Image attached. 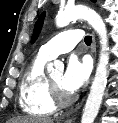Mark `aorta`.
Here are the masks:
<instances>
[{
    "instance_id": "obj_1",
    "label": "aorta",
    "mask_w": 118,
    "mask_h": 123,
    "mask_svg": "<svg viewBox=\"0 0 118 123\" xmlns=\"http://www.w3.org/2000/svg\"><path fill=\"white\" fill-rule=\"evenodd\" d=\"M84 19L96 31L100 38L101 51L99 62L96 68L95 77L93 79L90 92L83 109L81 123H93L101 106L107 85L109 64V47L106 25L101 16L94 10L86 6L68 7L56 16V26L59 28L67 26L71 21ZM55 65H61L59 61H55ZM53 64H49L48 68H52Z\"/></svg>"
}]
</instances>
